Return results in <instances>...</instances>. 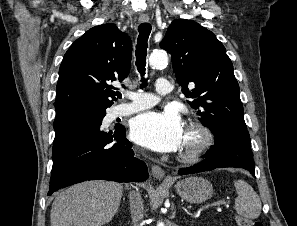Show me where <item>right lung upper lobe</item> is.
<instances>
[{"instance_id":"obj_1","label":"right lung upper lobe","mask_w":297,"mask_h":226,"mask_svg":"<svg viewBox=\"0 0 297 226\" xmlns=\"http://www.w3.org/2000/svg\"><path fill=\"white\" fill-rule=\"evenodd\" d=\"M132 43L114 24L88 30L67 50L59 69L56 114L81 107L101 111L113 104L110 81L125 79L130 71Z\"/></svg>"}]
</instances>
